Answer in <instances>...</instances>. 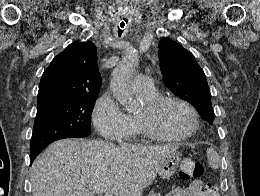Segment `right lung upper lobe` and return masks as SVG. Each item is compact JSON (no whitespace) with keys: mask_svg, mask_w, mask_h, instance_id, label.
<instances>
[{"mask_svg":"<svg viewBox=\"0 0 260 196\" xmlns=\"http://www.w3.org/2000/svg\"><path fill=\"white\" fill-rule=\"evenodd\" d=\"M101 77L94 43L73 42L44 71L38 91V106L84 94H97Z\"/></svg>","mask_w":260,"mask_h":196,"instance_id":"1","label":"right lung upper lobe"}]
</instances>
